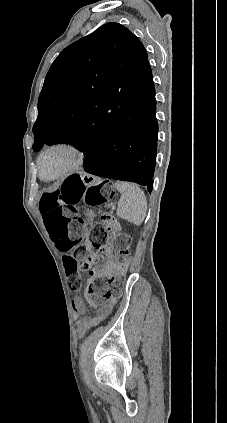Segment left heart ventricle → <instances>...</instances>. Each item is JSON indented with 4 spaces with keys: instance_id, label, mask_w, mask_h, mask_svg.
Masks as SVG:
<instances>
[{
    "instance_id": "b2bd125f",
    "label": "left heart ventricle",
    "mask_w": 227,
    "mask_h": 423,
    "mask_svg": "<svg viewBox=\"0 0 227 423\" xmlns=\"http://www.w3.org/2000/svg\"><path fill=\"white\" fill-rule=\"evenodd\" d=\"M72 160V154L66 150L55 149L50 151L43 158V176L51 178L60 174L71 164Z\"/></svg>"
}]
</instances>
